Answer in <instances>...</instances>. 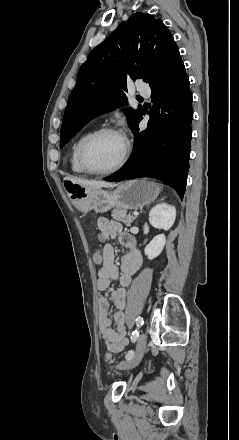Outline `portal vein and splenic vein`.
<instances>
[{
    "label": "portal vein and splenic vein",
    "instance_id": "1",
    "mask_svg": "<svg viewBox=\"0 0 239 440\" xmlns=\"http://www.w3.org/2000/svg\"><path fill=\"white\" fill-rule=\"evenodd\" d=\"M133 212V214H134V216H138V212H135L134 210L132 211Z\"/></svg>",
    "mask_w": 239,
    "mask_h": 440
}]
</instances>
